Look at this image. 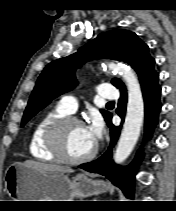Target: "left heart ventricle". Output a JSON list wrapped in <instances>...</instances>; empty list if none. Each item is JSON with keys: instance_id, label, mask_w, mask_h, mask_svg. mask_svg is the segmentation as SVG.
<instances>
[{"instance_id": "left-heart-ventricle-1", "label": "left heart ventricle", "mask_w": 176, "mask_h": 211, "mask_svg": "<svg viewBox=\"0 0 176 211\" xmlns=\"http://www.w3.org/2000/svg\"><path fill=\"white\" fill-rule=\"evenodd\" d=\"M63 144L66 153L72 157H80L94 147L84 125L72 124L68 126L63 134Z\"/></svg>"}]
</instances>
